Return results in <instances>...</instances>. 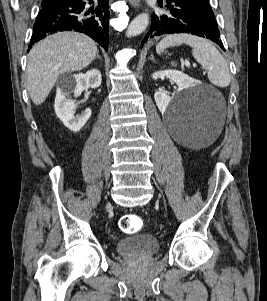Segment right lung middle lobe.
<instances>
[{
	"label": "right lung middle lobe",
	"instance_id": "dd1d6c3e",
	"mask_svg": "<svg viewBox=\"0 0 267 301\" xmlns=\"http://www.w3.org/2000/svg\"><path fill=\"white\" fill-rule=\"evenodd\" d=\"M50 4H48L46 1H42V7L48 6Z\"/></svg>",
	"mask_w": 267,
	"mask_h": 301
}]
</instances>
